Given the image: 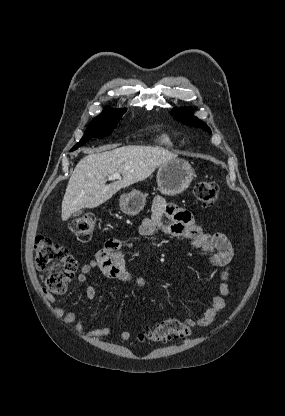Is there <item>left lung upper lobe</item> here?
Masks as SVG:
<instances>
[{
    "instance_id": "left-lung-upper-lobe-1",
    "label": "left lung upper lobe",
    "mask_w": 285,
    "mask_h": 416,
    "mask_svg": "<svg viewBox=\"0 0 285 416\" xmlns=\"http://www.w3.org/2000/svg\"><path fill=\"white\" fill-rule=\"evenodd\" d=\"M174 118L184 124L191 125L194 127H199L205 129L209 133H211L210 128L200 119L193 115V111L190 108H181L176 109L174 108L171 112Z\"/></svg>"
}]
</instances>
